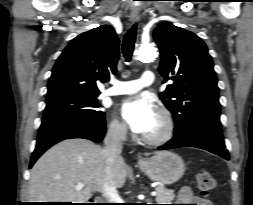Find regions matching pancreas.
Wrapping results in <instances>:
<instances>
[{"label": "pancreas", "mask_w": 253, "mask_h": 205, "mask_svg": "<svg viewBox=\"0 0 253 205\" xmlns=\"http://www.w3.org/2000/svg\"><path fill=\"white\" fill-rule=\"evenodd\" d=\"M155 191L157 192L156 201L158 204H170L175 199L173 190H168L163 186H157Z\"/></svg>", "instance_id": "obj_1"}]
</instances>
